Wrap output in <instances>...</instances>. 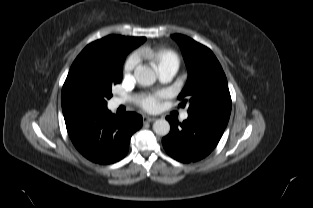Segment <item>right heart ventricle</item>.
<instances>
[{"mask_svg":"<svg viewBox=\"0 0 313 208\" xmlns=\"http://www.w3.org/2000/svg\"><path fill=\"white\" fill-rule=\"evenodd\" d=\"M141 54L149 59L158 71L169 66H174L178 69L180 64L178 55L169 49L145 47L141 49Z\"/></svg>","mask_w":313,"mask_h":208,"instance_id":"1","label":"right heart ventricle"}]
</instances>
